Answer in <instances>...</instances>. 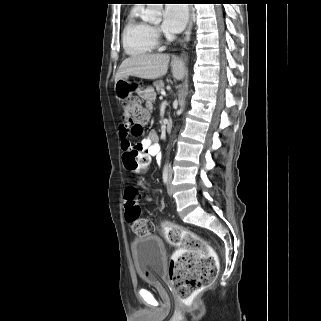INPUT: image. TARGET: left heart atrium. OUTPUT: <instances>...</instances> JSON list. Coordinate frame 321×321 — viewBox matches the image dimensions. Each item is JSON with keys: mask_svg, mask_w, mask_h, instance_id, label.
<instances>
[{"mask_svg": "<svg viewBox=\"0 0 321 321\" xmlns=\"http://www.w3.org/2000/svg\"><path fill=\"white\" fill-rule=\"evenodd\" d=\"M188 19V9L184 4H167L163 12L162 30L179 33Z\"/></svg>", "mask_w": 321, "mask_h": 321, "instance_id": "obj_1", "label": "left heart atrium"}]
</instances>
